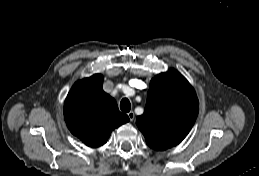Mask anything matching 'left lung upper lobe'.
Wrapping results in <instances>:
<instances>
[{"label":"left lung upper lobe","mask_w":259,"mask_h":176,"mask_svg":"<svg viewBox=\"0 0 259 176\" xmlns=\"http://www.w3.org/2000/svg\"><path fill=\"white\" fill-rule=\"evenodd\" d=\"M198 110L194 88L178 71L170 69L151 80L144 114L136 123L151 148L166 150L186 137Z\"/></svg>","instance_id":"obj_1"}]
</instances>
